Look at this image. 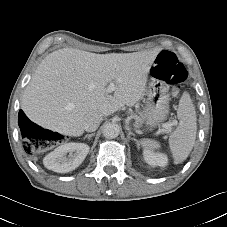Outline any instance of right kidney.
Here are the masks:
<instances>
[{
    "instance_id": "obj_1",
    "label": "right kidney",
    "mask_w": 227,
    "mask_h": 227,
    "mask_svg": "<svg viewBox=\"0 0 227 227\" xmlns=\"http://www.w3.org/2000/svg\"><path fill=\"white\" fill-rule=\"evenodd\" d=\"M85 143H65L45 156L44 166L57 173H67L76 169L89 152Z\"/></svg>"
}]
</instances>
